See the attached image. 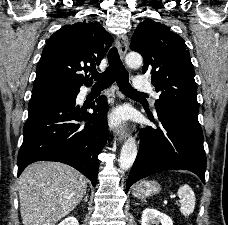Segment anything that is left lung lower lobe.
Returning <instances> with one entry per match:
<instances>
[{
  "label": "left lung lower lobe",
  "mask_w": 228,
  "mask_h": 225,
  "mask_svg": "<svg viewBox=\"0 0 228 225\" xmlns=\"http://www.w3.org/2000/svg\"><path fill=\"white\" fill-rule=\"evenodd\" d=\"M156 110L160 128L147 127L141 131L140 147L126 191L136 181L166 170H189L205 183L206 156L198 122L199 110L177 105H161ZM149 113L147 111L155 123Z\"/></svg>",
  "instance_id": "obj_1"
}]
</instances>
